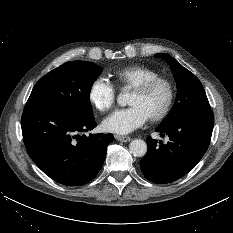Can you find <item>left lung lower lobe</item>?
<instances>
[{"label": "left lung lower lobe", "mask_w": 233, "mask_h": 233, "mask_svg": "<svg viewBox=\"0 0 233 233\" xmlns=\"http://www.w3.org/2000/svg\"><path fill=\"white\" fill-rule=\"evenodd\" d=\"M213 125L211 110L192 112L169 125H159L156 131L162 137L167 134L169 142L158 144L147 138L148 151L140 162L144 176L151 182L165 184L185 175L205 154Z\"/></svg>", "instance_id": "0a47b994"}]
</instances>
